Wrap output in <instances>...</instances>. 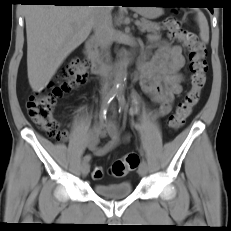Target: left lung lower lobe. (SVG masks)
Wrapping results in <instances>:
<instances>
[{
  "mask_svg": "<svg viewBox=\"0 0 231 231\" xmlns=\"http://www.w3.org/2000/svg\"><path fill=\"white\" fill-rule=\"evenodd\" d=\"M209 8V10L213 13V8L212 7H208Z\"/></svg>",
  "mask_w": 231,
  "mask_h": 231,
  "instance_id": "0a47b994",
  "label": "left lung lower lobe"
}]
</instances>
